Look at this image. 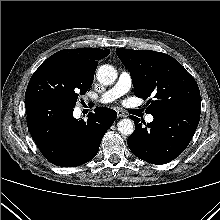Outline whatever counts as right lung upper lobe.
Returning <instances> with one entry per match:
<instances>
[{"instance_id": "cb5924a9", "label": "right lung upper lobe", "mask_w": 220, "mask_h": 220, "mask_svg": "<svg viewBox=\"0 0 220 220\" xmlns=\"http://www.w3.org/2000/svg\"><path fill=\"white\" fill-rule=\"evenodd\" d=\"M109 53V49L102 50L99 48L64 49L56 52L49 58L73 62L79 65L83 70L94 74L98 65V61L106 57Z\"/></svg>"}]
</instances>
